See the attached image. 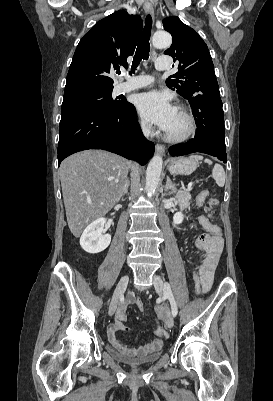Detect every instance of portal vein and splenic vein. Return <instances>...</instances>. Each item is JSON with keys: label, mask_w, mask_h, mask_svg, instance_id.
<instances>
[{"label": "portal vein and splenic vein", "mask_w": 273, "mask_h": 401, "mask_svg": "<svg viewBox=\"0 0 273 401\" xmlns=\"http://www.w3.org/2000/svg\"><path fill=\"white\" fill-rule=\"evenodd\" d=\"M191 186H192V184H191V182H189V184H188V190H191Z\"/></svg>", "instance_id": "1"}]
</instances>
